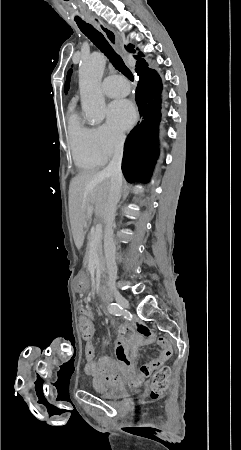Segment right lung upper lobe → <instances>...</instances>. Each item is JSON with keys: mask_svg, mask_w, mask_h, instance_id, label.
<instances>
[{"mask_svg": "<svg viewBox=\"0 0 241 450\" xmlns=\"http://www.w3.org/2000/svg\"><path fill=\"white\" fill-rule=\"evenodd\" d=\"M133 48H134V45H132V44H129L126 47L127 51H129L131 53H135V50ZM141 56H143V54L141 52H139L137 56H134L135 59H138L137 62H136V66L145 62V60L142 59Z\"/></svg>", "mask_w": 241, "mask_h": 450, "instance_id": "1", "label": "right lung upper lobe"}]
</instances>
